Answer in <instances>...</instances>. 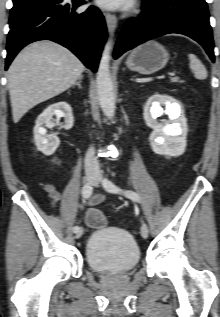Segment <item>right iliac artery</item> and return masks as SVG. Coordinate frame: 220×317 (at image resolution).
I'll use <instances>...</instances> for the list:
<instances>
[{
    "mask_svg": "<svg viewBox=\"0 0 220 317\" xmlns=\"http://www.w3.org/2000/svg\"><path fill=\"white\" fill-rule=\"evenodd\" d=\"M93 192V188L92 185L90 183H86L83 188H82V195L84 199H88L90 198V196L92 195ZM80 229V227L78 226H74L73 227V231L76 233L78 230Z\"/></svg>",
    "mask_w": 220,
    "mask_h": 317,
    "instance_id": "82829eb1",
    "label": "right iliac artery"
}]
</instances>
